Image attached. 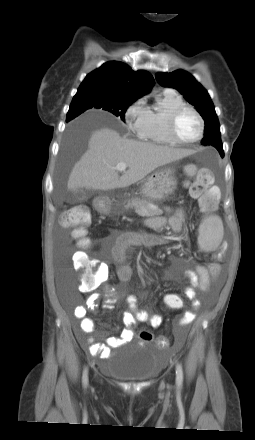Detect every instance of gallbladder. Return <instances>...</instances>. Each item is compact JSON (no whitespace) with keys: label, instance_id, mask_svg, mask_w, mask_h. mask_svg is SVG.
Segmentation results:
<instances>
[{"label":"gallbladder","instance_id":"1","mask_svg":"<svg viewBox=\"0 0 255 440\" xmlns=\"http://www.w3.org/2000/svg\"><path fill=\"white\" fill-rule=\"evenodd\" d=\"M88 195L82 190H76L72 194V202H82L87 200Z\"/></svg>","mask_w":255,"mask_h":440}]
</instances>
